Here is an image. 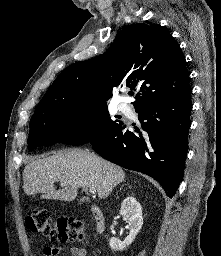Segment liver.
Returning a JSON list of instances; mask_svg holds the SVG:
<instances>
[{
  "instance_id": "1",
  "label": "liver",
  "mask_w": 221,
  "mask_h": 256,
  "mask_svg": "<svg viewBox=\"0 0 221 256\" xmlns=\"http://www.w3.org/2000/svg\"><path fill=\"white\" fill-rule=\"evenodd\" d=\"M125 172L96 154L74 149L38 158L25 166L23 190L26 195L42 194L43 199L73 201L78 188H95L105 199L113 188L124 181ZM65 183L57 190L54 183Z\"/></svg>"
}]
</instances>
